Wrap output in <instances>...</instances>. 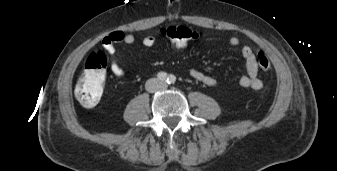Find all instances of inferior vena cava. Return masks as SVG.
I'll return each instance as SVG.
<instances>
[{
  "instance_id": "inferior-vena-cava-1",
  "label": "inferior vena cava",
  "mask_w": 337,
  "mask_h": 171,
  "mask_svg": "<svg viewBox=\"0 0 337 171\" xmlns=\"http://www.w3.org/2000/svg\"><path fill=\"white\" fill-rule=\"evenodd\" d=\"M145 87L148 92L152 93L162 88V84L158 79L152 78L146 82Z\"/></svg>"
}]
</instances>
